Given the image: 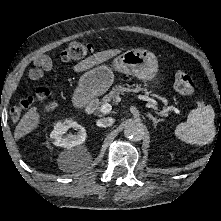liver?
I'll return each mask as SVG.
<instances>
[{
    "instance_id": "obj_1",
    "label": "liver",
    "mask_w": 221,
    "mask_h": 221,
    "mask_svg": "<svg viewBox=\"0 0 221 221\" xmlns=\"http://www.w3.org/2000/svg\"><path fill=\"white\" fill-rule=\"evenodd\" d=\"M121 50L119 49H111L98 52L82 61H80L77 65L74 66L75 72H82L87 69L92 68L95 65L101 64L110 58H113L117 54H119ZM40 123V115L37 112V107H32L29 109L25 115L22 117L20 122L17 124L14 132V138L16 140L24 137L25 135L31 133L38 127Z\"/></svg>"
}]
</instances>
